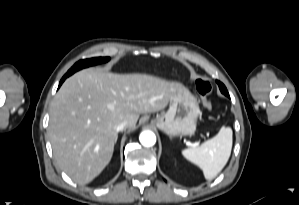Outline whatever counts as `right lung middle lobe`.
<instances>
[{
    "mask_svg": "<svg viewBox=\"0 0 299 205\" xmlns=\"http://www.w3.org/2000/svg\"><path fill=\"white\" fill-rule=\"evenodd\" d=\"M109 57H98V58H92V59H86V60H80L77 62L66 74L65 78L72 75L74 72L86 68L92 65L100 64L109 61Z\"/></svg>",
    "mask_w": 299,
    "mask_h": 205,
    "instance_id": "obj_1",
    "label": "right lung middle lobe"
}]
</instances>
